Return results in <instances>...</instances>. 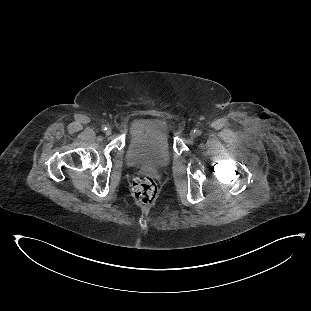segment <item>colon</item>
Here are the masks:
<instances>
[{
    "label": "colon",
    "mask_w": 311,
    "mask_h": 311,
    "mask_svg": "<svg viewBox=\"0 0 311 311\" xmlns=\"http://www.w3.org/2000/svg\"><path fill=\"white\" fill-rule=\"evenodd\" d=\"M132 195L139 204H149L157 196V185L152 177L148 175L138 176L132 187Z\"/></svg>",
    "instance_id": "obj_1"
}]
</instances>
